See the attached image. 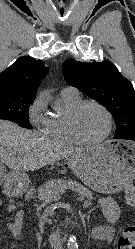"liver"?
<instances>
[{
    "instance_id": "6515ba94",
    "label": "liver",
    "mask_w": 135,
    "mask_h": 249,
    "mask_svg": "<svg viewBox=\"0 0 135 249\" xmlns=\"http://www.w3.org/2000/svg\"><path fill=\"white\" fill-rule=\"evenodd\" d=\"M84 150L62 146L13 122L0 120V162L14 172L37 170Z\"/></svg>"
}]
</instances>
